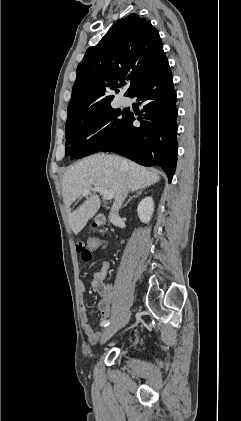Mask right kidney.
Here are the masks:
<instances>
[{"mask_svg":"<svg viewBox=\"0 0 241 421\" xmlns=\"http://www.w3.org/2000/svg\"><path fill=\"white\" fill-rule=\"evenodd\" d=\"M154 211V202L152 197H146L140 201L137 207V212L140 220L143 223H148L151 220Z\"/></svg>","mask_w":241,"mask_h":421,"instance_id":"1","label":"right kidney"}]
</instances>
